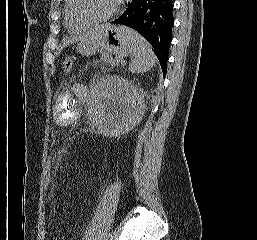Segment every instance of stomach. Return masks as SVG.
<instances>
[{
  "instance_id": "obj_1",
  "label": "stomach",
  "mask_w": 257,
  "mask_h": 240,
  "mask_svg": "<svg viewBox=\"0 0 257 240\" xmlns=\"http://www.w3.org/2000/svg\"><path fill=\"white\" fill-rule=\"evenodd\" d=\"M99 49L125 57L130 53L128 37L122 27L105 24L98 35L78 44L77 52L85 57L94 55Z\"/></svg>"
}]
</instances>
